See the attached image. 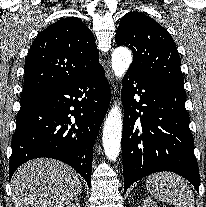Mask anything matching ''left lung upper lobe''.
<instances>
[{
    "instance_id": "obj_1",
    "label": "left lung upper lobe",
    "mask_w": 206,
    "mask_h": 207,
    "mask_svg": "<svg viewBox=\"0 0 206 207\" xmlns=\"http://www.w3.org/2000/svg\"><path fill=\"white\" fill-rule=\"evenodd\" d=\"M115 40L133 52L128 73L184 88L176 45L154 19L139 12L127 13L118 26Z\"/></svg>"
}]
</instances>
